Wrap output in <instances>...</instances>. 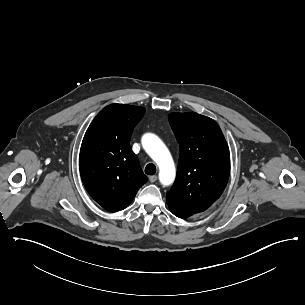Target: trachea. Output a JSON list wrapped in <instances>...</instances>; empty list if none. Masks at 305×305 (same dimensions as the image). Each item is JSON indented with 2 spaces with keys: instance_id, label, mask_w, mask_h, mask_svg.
I'll return each instance as SVG.
<instances>
[{
  "instance_id": "3493384b",
  "label": "trachea",
  "mask_w": 305,
  "mask_h": 305,
  "mask_svg": "<svg viewBox=\"0 0 305 305\" xmlns=\"http://www.w3.org/2000/svg\"><path fill=\"white\" fill-rule=\"evenodd\" d=\"M145 173L147 175H154L156 173V166L152 163H149L145 167Z\"/></svg>"
}]
</instances>
